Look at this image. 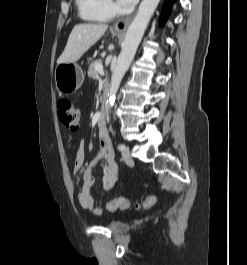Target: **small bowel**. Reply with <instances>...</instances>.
<instances>
[{"label": "small bowel", "mask_w": 247, "mask_h": 265, "mask_svg": "<svg viewBox=\"0 0 247 265\" xmlns=\"http://www.w3.org/2000/svg\"><path fill=\"white\" fill-rule=\"evenodd\" d=\"M100 151L98 155L92 159L86 166L82 175V187L78 194L80 205L91 211L95 215L102 214V208L96 204L91 193V187L96 181L95 168L99 162L103 161L101 188L104 191H109L114 188L119 178V166L114 159V151L112 148L109 132L106 128H101L98 133ZM85 159L84 139H81L76 153L74 170L77 174L83 167ZM129 206V201L126 198L110 199L106 202L105 208L109 212L126 209Z\"/></svg>", "instance_id": "1"}]
</instances>
